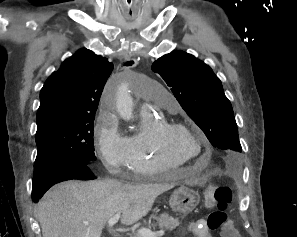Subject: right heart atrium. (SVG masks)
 <instances>
[{"instance_id": "1", "label": "right heart atrium", "mask_w": 297, "mask_h": 237, "mask_svg": "<svg viewBox=\"0 0 297 237\" xmlns=\"http://www.w3.org/2000/svg\"><path fill=\"white\" fill-rule=\"evenodd\" d=\"M97 151L107 166L115 173L128 165V137L121 132L119 120L110 109H103L95 126Z\"/></svg>"}]
</instances>
